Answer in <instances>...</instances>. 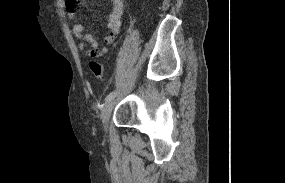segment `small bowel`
<instances>
[{
  "instance_id": "small-bowel-1",
  "label": "small bowel",
  "mask_w": 285,
  "mask_h": 183,
  "mask_svg": "<svg viewBox=\"0 0 285 183\" xmlns=\"http://www.w3.org/2000/svg\"><path fill=\"white\" fill-rule=\"evenodd\" d=\"M78 2V1H77ZM77 2H73L75 9L71 10L67 4V17L75 21ZM111 11L107 20L108 34L104 39L105 46H99L97 40L91 35L84 33V26L81 23H74L72 26L73 35L79 40V49L89 59H98L108 52L106 45H110L117 39L120 28L121 19L124 12V0H110Z\"/></svg>"
}]
</instances>
